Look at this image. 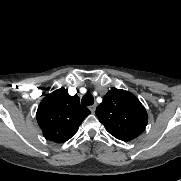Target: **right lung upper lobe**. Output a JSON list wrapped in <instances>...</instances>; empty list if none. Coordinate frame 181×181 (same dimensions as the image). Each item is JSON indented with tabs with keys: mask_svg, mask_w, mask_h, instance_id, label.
<instances>
[{
	"mask_svg": "<svg viewBox=\"0 0 181 181\" xmlns=\"http://www.w3.org/2000/svg\"><path fill=\"white\" fill-rule=\"evenodd\" d=\"M89 114L77 95L70 96L67 89L60 88L40 102L36 119L47 140L63 143L77 132Z\"/></svg>",
	"mask_w": 181,
	"mask_h": 181,
	"instance_id": "obj_1",
	"label": "right lung upper lobe"
}]
</instances>
